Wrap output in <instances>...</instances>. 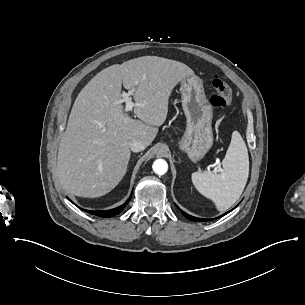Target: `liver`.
I'll list each match as a JSON object with an SVG mask.
<instances>
[{"label": "liver", "mask_w": 305, "mask_h": 305, "mask_svg": "<svg viewBox=\"0 0 305 305\" xmlns=\"http://www.w3.org/2000/svg\"><path fill=\"white\" fill-rule=\"evenodd\" d=\"M194 75L186 64L143 56L97 73L78 94L57 156L63 188L76 196L100 197L124 177L130 158L128 142L149 146L166 120L168 100L179 81ZM134 90V113L123 112L121 87Z\"/></svg>", "instance_id": "1"}]
</instances>
